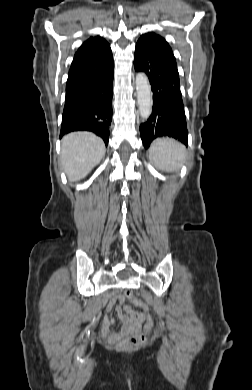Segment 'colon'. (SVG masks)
Wrapping results in <instances>:
<instances>
[{
    "mask_svg": "<svg viewBox=\"0 0 252 390\" xmlns=\"http://www.w3.org/2000/svg\"><path fill=\"white\" fill-rule=\"evenodd\" d=\"M125 297L127 299H130V300H132L134 298L133 297V293L130 290H126L125 291ZM151 327H152V322L149 319L147 321V324H146V329L150 330ZM145 338H146L145 332H136L132 336L124 339L123 341H121L120 344H119V348L124 349V350L135 349L136 347H138L139 345H141L143 343Z\"/></svg>",
    "mask_w": 252,
    "mask_h": 390,
    "instance_id": "5ec220e1",
    "label": "colon"
}]
</instances>
